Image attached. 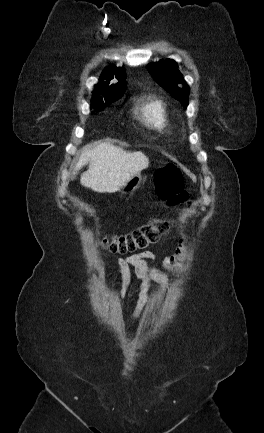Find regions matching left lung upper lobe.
<instances>
[{"mask_svg": "<svg viewBox=\"0 0 264 433\" xmlns=\"http://www.w3.org/2000/svg\"><path fill=\"white\" fill-rule=\"evenodd\" d=\"M147 69L161 87L169 92L173 98L180 101L183 106L187 107L189 87L178 70V65L173 60L167 59L150 63Z\"/></svg>", "mask_w": 264, "mask_h": 433, "instance_id": "left-lung-upper-lobe-1", "label": "left lung upper lobe"}]
</instances>
